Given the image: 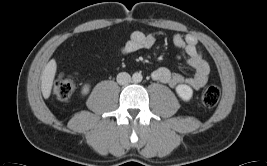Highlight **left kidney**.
Instances as JSON below:
<instances>
[{"mask_svg": "<svg viewBox=\"0 0 267 166\" xmlns=\"http://www.w3.org/2000/svg\"><path fill=\"white\" fill-rule=\"evenodd\" d=\"M176 92H177L178 96L184 101H189L193 95L192 88L186 84L178 85L176 87Z\"/></svg>", "mask_w": 267, "mask_h": 166, "instance_id": "left-kidney-1", "label": "left kidney"}]
</instances>
